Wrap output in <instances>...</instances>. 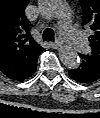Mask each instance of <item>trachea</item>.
<instances>
[{"label": "trachea", "mask_w": 100, "mask_h": 118, "mask_svg": "<svg viewBox=\"0 0 100 118\" xmlns=\"http://www.w3.org/2000/svg\"><path fill=\"white\" fill-rule=\"evenodd\" d=\"M42 38L44 41H52L54 39V31L51 28L45 29Z\"/></svg>", "instance_id": "obj_1"}]
</instances>
